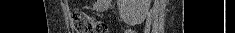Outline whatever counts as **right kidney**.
I'll return each instance as SVG.
<instances>
[{
  "instance_id": "obj_1",
  "label": "right kidney",
  "mask_w": 235,
  "mask_h": 33,
  "mask_svg": "<svg viewBox=\"0 0 235 33\" xmlns=\"http://www.w3.org/2000/svg\"><path fill=\"white\" fill-rule=\"evenodd\" d=\"M150 0H119L120 15L127 20L144 18L148 12Z\"/></svg>"
}]
</instances>
